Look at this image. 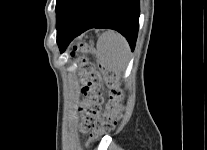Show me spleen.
Returning <instances> with one entry per match:
<instances>
[{"instance_id": "spleen-1", "label": "spleen", "mask_w": 207, "mask_h": 150, "mask_svg": "<svg viewBox=\"0 0 207 150\" xmlns=\"http://www.w3.org/2000/svg\"><path fill=\"white\" fill-rule=\"evenodd\" d=\"M97 55L106 68L119 74L128 65L130 48L121 34L108 30L97 41Z\"/></svg>"}]
</instances>
